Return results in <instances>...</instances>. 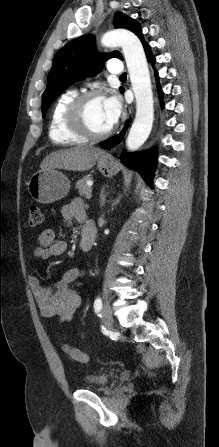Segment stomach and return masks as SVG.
I'll use <instances>...</instances> for the list:
<instances>
[{"label":"stomach","mask_w":219,"mask_h":447,"mask_svg":"<svg viewBox=\"0 0 219 447\" xmlns=\"http://www.w3.org/2000/svg\"><path fill=\"white\" fill-rule=\"evenodd\" d=\"M97 167L105 177H112L118 172L117 162L107 153L98 158ZM69 190V179L55 169H41L34 173L28 182V191L32 199L42 204L61 200L67 196Z\"/></svg>","instance_id":"stomach-1"}]
</instances>
